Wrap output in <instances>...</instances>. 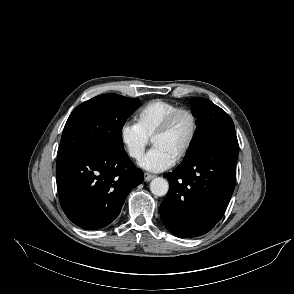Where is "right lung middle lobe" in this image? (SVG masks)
<instances>
[{
	"mask_svg": "<svg viewBox=\"0 0 294 294\" xmlns=\"http://www.w3.org/2000/svg\"><path fill=\"white\" fill-rule=\"evenodd\" d=\"M139 104V99L106 94L77 106L64 127L57 159L79 150L123 148L122 128Z\"/></svg>",
	"mask_w": 294,
	"mask_h": 294,
	"instance_id": "right-lung-middle-lobe-1",
	"label": "right lung middle lobe"
}]
</instances>
